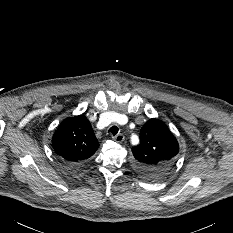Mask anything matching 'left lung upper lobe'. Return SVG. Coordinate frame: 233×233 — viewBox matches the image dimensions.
<instances>
[{
	"instance_id": "5c2ea615",
	"label": "left lung upper lobe",
	"mask_w": 233,
	"mask_h": 233,
	"mask_svg": "<svg viewBox=\"0 0 233 233\" xmlns=\"http://www.w3.org/2000/svg\"><path fill=\"white\" fill-rule=\"evenodd\" d=\"M179 145L165 123L148 120L140 131V144L132 148L139 173L149 179L162 177L175 164Z\"/></svg>"
}]
</instances>
